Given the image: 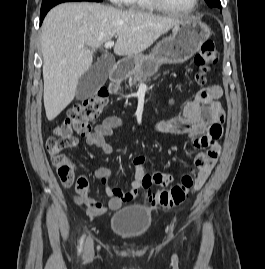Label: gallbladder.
Segmentation results:
<instances>
[{
	"label": "gallbladder",
	"instance_id": "gallbladder-1",
	"mask_svg": "<svg viewBox=\"0 0 265 269\" xmlns=\"http://www.w3.org/2000/svg\"><path fill=\"white\" fill-rule=\"evenodd\" d=\"M113 63L105 59L95 63L79 79L76 89V99L85 100L94 95L106 82Z\"/></svg>",
	"mask_w": 265,
	"mask_h": 269
}]
</instances>
